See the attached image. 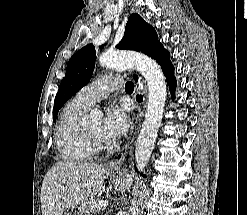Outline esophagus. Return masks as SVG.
Segmentation results:
<instances>
[{"instance_id":"esophagus-1","label":"esophagus","mask_w":247,"mask_h":215,"mask_svg":"<svg viewBox=\"0 0 247 215\" xmlns=\"http://www.w3.org/2000/svg\"><path fill=\"white\" fill-rule=\"evenodd\" d=\"M133 99L136 104V112L134 113L131 120V128H130L129 136L121 150L124 153V159H126L127 154L133 148L136 139V134L140 128L141 121L144 115V109L147 99V86L141 80H139L138 84L135 87ZM106 169L108 172L121 173L122 171L121 163L119 161L110 162L107 164Z\"/></svg>"}]
</instances>
